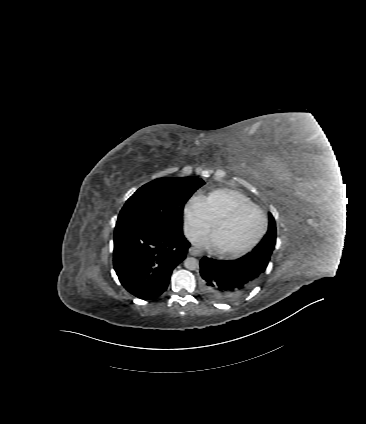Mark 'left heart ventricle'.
I'll return each instance as SVG.
<instances>
[{
    "label": "left heart ventricle",
    "mask_w": 366,
    "mask_h": 424,
    "mask_svg": "<svg viewBox=\"0 0 366 424\" xmlns=\"http://www.w3.org/2000/svg\"><path fill=\"white\" fill-rule=\"evenodd\" d=\"M262 216L249 209L238 215L233 221L220 226L214 233L217 247L238 250L249 245L260 233Z\"/></svg>",
    "instance_id": "left-heart-ventricle-1"
}]
</instances>
